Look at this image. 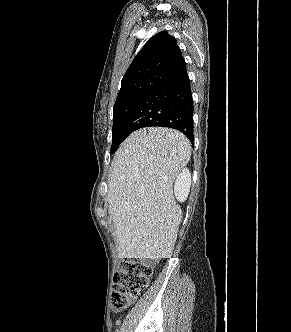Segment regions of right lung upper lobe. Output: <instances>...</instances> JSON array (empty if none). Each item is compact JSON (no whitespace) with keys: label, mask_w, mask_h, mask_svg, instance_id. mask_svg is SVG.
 Wrapping results in <instances>:
<instances>
[{"label":"right lung upper lobe","mask_w":291,"mask_h":332,"mask_svg":"<svg viewBox=\"0 0 291 332\" xmlns=\"http://www.w3.org/2000/svg\"><path fill=\"white\" fill-rule=\"evenodd\" d=\"M186 69L176 39L161 31L151 37L126 71L116 100L153 90L173 75Z\"/></svg>","instance_id":"right-lung-upper-lobe-1"}]
</instances>
